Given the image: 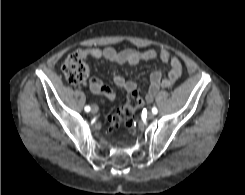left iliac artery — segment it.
<instances>
[{
  "label": "left iliac artery",
  "mask_w": 245,
  "mask_h": 195,
  "mask_svg": "<svg viewBox=\"0 0 245 195\" xmlns=\"http://www.w3.org/2000/svg\"><path fill=\"white\" fill-rule=\"evenodd\" d=\"M157 112H158L157 108H156V107H153V108H152V113H153V114H157Z\"/></svg>",
  "instance_id": "1"
}]
</instances>
